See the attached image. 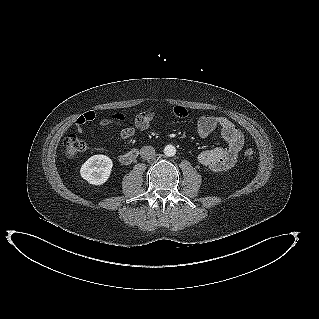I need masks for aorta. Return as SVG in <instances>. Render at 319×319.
<instances>
[{"label": "aorta", "instance_id": "obj_1", "mask_svg": "<svg viewBox=\"0 0 319 319\" xmlns=\"http://www.w3.org/2000/svg\"><path fill=\"white\" fill-rule=\"evenodd\" d=\"M164 154L168 157H172L176 154V148L173 145H167L164 148Z\"/></svg>", "mask_w": 319, "mask_h": 319}]
</instances>
